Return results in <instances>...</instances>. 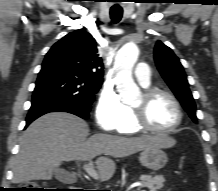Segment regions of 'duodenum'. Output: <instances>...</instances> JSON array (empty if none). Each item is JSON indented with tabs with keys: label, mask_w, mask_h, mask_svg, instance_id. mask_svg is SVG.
<instances>
[{
	"label": "duodenum",
	"mask_w": 218,
	"mask_h": 191,
	"mask_svg": "<svg viewBox=\"0 0 218 191\" xmlns=\"http://www.w3.org/2000/svg\"><path fill=\"white\" fill-rule=\"evenodd\" d=\"M71 191H82L80 187H74Z\"/></svg>",
	"instance_id": "duodenum-1"
}]
</instances>
